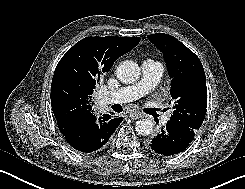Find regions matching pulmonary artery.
<instances>
[{"instance_id": "1", "label": "pulmonary artery", "mask_w": 245, "mask_h": 189, "mask_svg": "<svg viewBox=\"0 0 245 189\" xmlns=\"http://www.w3.org/2000/svg\"><path fill=\"white\" fill-rule=\"evenodd\" d=\"M141 72L142 77L139 82L104 93V101L110 104L127 103L139 99L158 85L164 72V67L160 62L145 60L141 64ZM168 117V115L165 116V122Z\"/></svg>"}]
</instances>
